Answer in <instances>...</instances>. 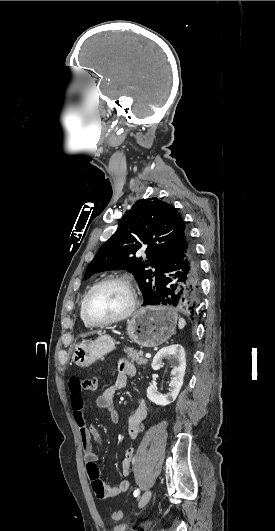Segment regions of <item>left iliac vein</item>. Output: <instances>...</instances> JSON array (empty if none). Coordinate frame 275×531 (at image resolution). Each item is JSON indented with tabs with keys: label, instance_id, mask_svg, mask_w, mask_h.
<instances>
[{
	"label": "left iliac vein",
	"instance_id": "1",
	"mask_svg": "<svg viewBox=\"0 0 275 531\" xmlns=\"http://www.w3.org/2000/svg\"><path fill=\"white\" fill-rule=\"evenodd\" d=\"M151 496H152V492L150 490L145 491L140 498L139 507L140 508L144 507L150 501Z\"/></svg>",
	"mask_w": 275,
	"mask_h": 531
}]
</instances>
